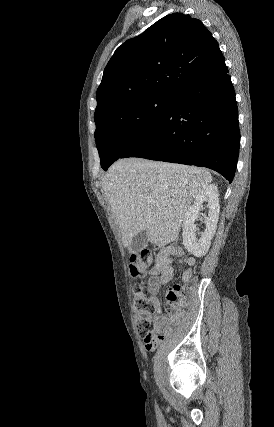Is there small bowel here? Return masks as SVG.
<instances>
[{
  "label": "small bowel",
  "instance_id": "small-bowel-1",
  "mask_svg": "<svg viewBox=\"0 0 274 427\" xmlns=\"http://www.w3.org/2000/svg\"><path fill=\"white\" fill-rule=\"evenodd\" d=\"M173 262H184L186 265V269L181 275L182 282L191 279L196 258L178 245L162 248L157 253L152 266L150 268L144 267L143 269V277L147 280V298L153 305L154 311V330L150 337H144L145 349L148 352L155 350L166 339L183 316L180 304L173 305L166 314H163L158 299L159 290L173 278Z\"/></svg>",
  "mask_w": 274,
  "mask_h": 427
}]
</instances>
